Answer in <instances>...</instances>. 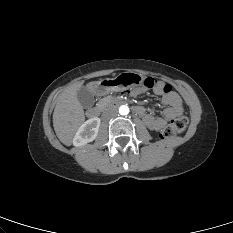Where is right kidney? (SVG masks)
Here are the masks:
<instances>
[{"label":"right kidney","mask_w":233,"mask_h":233,"mask_svg":"<svg viewBox=\"0 0 233 233\" xmlns=\"http://www.w3.org/2000/svg\"><path fill=\"white\" fill-rule=\"evenodd\" d=\"M100 123L101 120L97 117L91 118L84 122L78 129L73 139V145L83 146L88 142H92L93 140H95L98 134Z\"/></svg>","instance_id":"obj_1"}]
</instances>
